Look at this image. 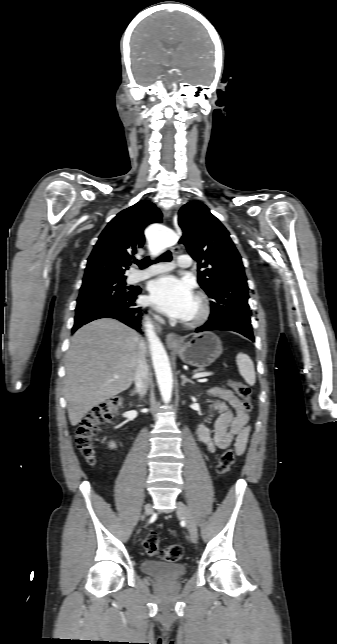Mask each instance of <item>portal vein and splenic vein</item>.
Masks as SVG:
<instances>
[{
    "label": "portal vein and splenic vein",
    "mask_w": 337,
    "mask_h": 644,
    "mask_svg": "<svg viewBox=\"0 0 337 644\" xmlns=\"http://www.w3.org/2000/svg\"><path fill=\"white\" fill-rule=\"evenodd\" d=\"M211 375H212L211 372L196 373V374H194L192 376V378L193 379H198V378L207 377V376H211ZM115 378H118V376H115Z\"/></svg>",
    "instance_id": "18ae733b"
}]
</instances>
